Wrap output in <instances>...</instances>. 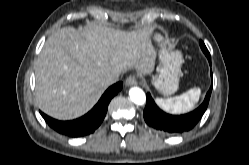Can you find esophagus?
<instances>
[{
  "instance_id": "1",
  "label": "esophagus",
  "mask_w": 249,
  "mask_h": 165,
  "mask_svg": "<svg viewBox=\"0 0 249 165\" xmlns=\"http://www.w3.org/2000/svg\"><path fill=\"white\" fill-rule=\"evenodd\" d=\"M136 84H137V80H136L135 76L130 75L125 80V85L127 87H130V86H133V85H136Z\"/></svg>"
}]
</instances>
